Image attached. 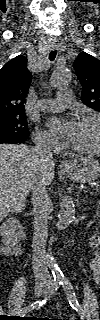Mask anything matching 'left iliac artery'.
<instances>
[{
    "label": "left iliac artery",
    "mask_w": 100,
    "mask_h": 320,
    "mask_svg": "<svg viewBox=\"0 0 100 320\" xmlns=\"http://www.w3.org/2000/svg\"><path fill=\"white\" fill-rule=\"evenodd\" d=\"M61 285L63 287V290L65 291V294L67 296V299L69 301L70 306L74 310H76L78 312L79 316L81 317V319L84 320L85 312L83 311L82 307L80 306V304L76 298L73 286L71 285V283L67 279H62Z\"/></svg>",
    "instance_id": "left-iliac-artery-1"
}]
</instances>
